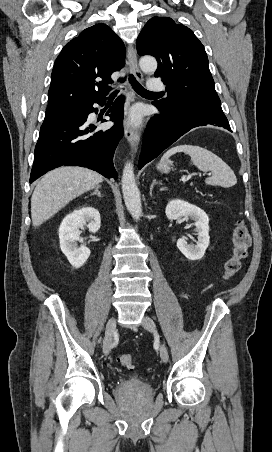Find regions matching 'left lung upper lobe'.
I'll list each match as a JSON object with an SVG mask.
<instances>
[{
  "instance_id": "left-lung-upper-lobe-1",
  "label": "left lung upper lobe",
  "mask_w": 272,
  "mask_h": 452,
  "mask_svg": "<svg viewBox=\"0 0 272 452\" xmlns=\"http://www.w3.org/2000/svg\"><path fill=\"white\" fill-rule=\"evenodd\" d=\"M140 56L157 59L155 77L166 85L168 97L156 103L165 109L200 102L221 106L208 67L204 46L188 27L168 17L151 18L137 38Z\"/></svg>"
}]
</instances>
